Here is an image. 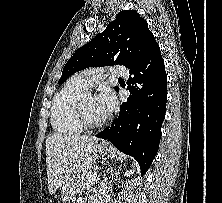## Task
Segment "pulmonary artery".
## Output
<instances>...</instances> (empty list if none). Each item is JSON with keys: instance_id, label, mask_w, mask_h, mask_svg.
Listing matches in <instances>:
<instances>
[{"instance_id": "e3ab8cb5", "label": "pulmonary artery", "mask_w": 222, "mask_h": 203, "mask_svg": "<svg viewBox=\"0 0 222 203\" xmlns=\"http://www.w3.org/2000/svg\"><path fill=\"white\" fill-rule=\"evenodd\" d=\"M104 70L99 69H87L77 73L73 79L79 85L84 87L85 89L93 86L95 83L99 82L103 77ZM109 72L118 77H126L128 76V70L123 66H113L109 68Z\"/></svg>"}]
</instances>
